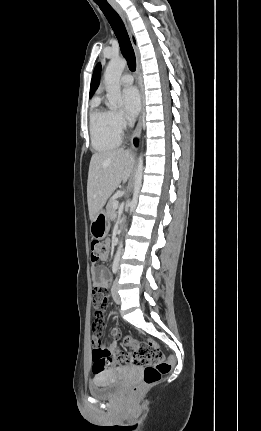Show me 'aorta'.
<instances>
[{"mask_svg":"<svg viewBox=\"0 0 261 431\" xmlns=\"http://www.w3.org/2000/svg\"><path fill=\"white\" fill-rule=\"evenodd\" d=\"M126 66V60L122 58H113L110 60L105 74H104V84L107 91L108 105L110 107H117L120 105L121 90H120V77ZM142 176H143V156L140 155L138 159L137 168L134 176V193L133 198L129 204L130 213L134 211L138 202V195L142 186ZM123 247V242L120 241L118 250L114 257V264H118L120 261L121 250Z\"/></svg>","mask_w":261,"mask_h":431,"instance_id":"obj_1","label":"aorta"}]
</instances>
